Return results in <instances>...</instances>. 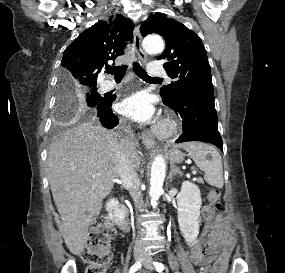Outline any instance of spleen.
Listing matches in <instances>:
<instances>
[{
	"mask_svg": "<svg viewBox=\"0 0 285 273\" xmlns=\"http://www.w3.org/2000/svg\"><path fill=\"white\" fill-rule=\"evenodd\" d=\"M177 147L188 152L195 164L205 173L204 179L209 185L223 187L222 159L213 146L202 142H186Z\"/></svg>",
	"mask_w": 285,
	"mask_h": 273,
	"instance_id": "spleen-1",
	"label": "spleen"
}]
</instances>
